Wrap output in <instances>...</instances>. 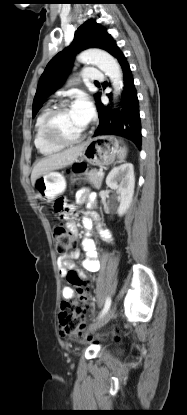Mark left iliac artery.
Masks as SVG:
<instances>
[{
	"label": "left iliac artery",
	"mask_w": 187,
	"mask_h": 415,
	"mask_svg": "<svg viewBox=\"0 0 187 415\" xmlns=\"http://www.w3.org/2000/svg\"><path fill=\"white\" fill-rule=\"evenodd\" d=\"M110 306H111V298L108 297L106 299L104 308H103L102 312L100 313V316L99 317H102L109 310Z\"/></svg>",
	"instance_id": "obj_1"
}]
</instances>
